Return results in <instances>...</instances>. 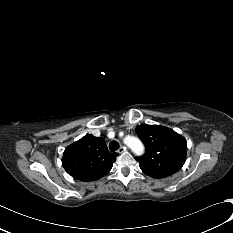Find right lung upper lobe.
<instances>
[{"instance_id": "cb5924a9", "label": "right lung upper lobe", "mask_w": 233, "mask_h": 233, "mask_svg": "<svg viewBox=\"0 0 233 233\" xmlns=\"http://www.w3.org/2000/svg\"><path fill=\"white\" fill-rule=\"evenodd\" d=\"M117 156L108 151L102 138L87 134L65 149L62 165L77 180L95 181L111 170Z\"/></svg>"}]
</instances>
